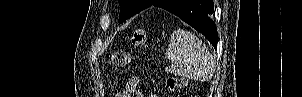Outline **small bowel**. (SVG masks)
<instances>
[{
    "instance_id": "c3829d8e",
    "label": "small bowel",
    "mask_w": 302,
    "mask_h": 97,
    "mask_svg": "<svg viewBox=\"0 0 302 97\" xmlns=\"http://www.w3.org/2000/svg\"><path fill=\"white\" fill-rule=\"evenodd\" d=\"M139 79L138 77H133L125 82L123 91L119 97H144L141 90L138 88Z\"/></svg>"
}]
</instances>
